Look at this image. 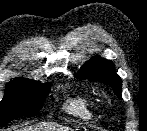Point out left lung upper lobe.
Wrapping results in <instances>:
<instances>
[{
	"instance_id": "left-lung-upper-lobe-1",
	"label": "left lung upper lobe",
	"mask_w": 147,
	"mask_h": 131,
	"mask_svg": "<svg viewBox=\"0 0 147 131\" xmlns=\"http://www.w3.org/2000/svg\"><path fill=\"white\" fill-rule=\"evenodd\" d=\"M80 79L100 81L110 85L115 94L121 97V78L115 73L114 64L104 58H94L83 65L76 75Z\"/></svg>"
}]
</instances>
